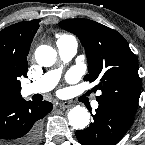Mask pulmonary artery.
I'll list each match as a JSON object with an SVG mask.
<instances>
[{
	"mask_svg": "<svg viewBox=\"0 0 145 145\" xmlns=\"http://www.w3.org/2000/svg\"><path fill=\"white\" fill-rule=\"evenodd\" d=\"M59 57L67 62L71 60L77 52L78 43L75 38L68 37L60 39L56 43ZM61 76V69H54L44 74L36 82L26 84L22 87V95L29 96L36 93H44L50 91L58 82ZM99 103L94 100L92 107L98 108Z\"/></svg>",
	"mask_w": 145,
	"mask_h": 145,
	"instance_id": "1",
	"label": "pulmonary artery"
}]
</instances>
